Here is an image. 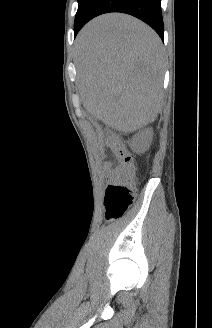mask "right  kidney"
<instances>
[{
	"mask_svg": "<svg viewBox=\"0 0 212 328\" xmlns=\"http://www.w3.org/2000/svg\"><path fill=\"white\" fill-rule=\"evenodd\" d=\"M152 135V130L151 129H147L145 131H142L141 134L137 137H135V140L138 141L140 147H145L148 143V141L150 140Z\"/></svg>",
	"mask_w": 212,
	"mask_h": 328,
	"instance_id": "ca27d5eb",
	"label": "right kidney"
}]
</instances>
